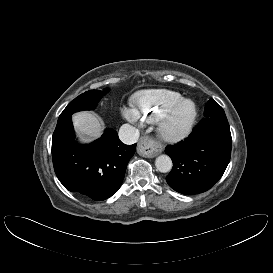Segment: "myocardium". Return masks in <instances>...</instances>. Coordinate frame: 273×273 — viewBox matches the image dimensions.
I'll return each instance as SVG.
<instances>
[{
	"label": "myocardium",
	"instance_id": "obj_1",
	"mask_svg": "<svg viewBox=\"0 0 273 273\" xmlns=\"http://www.w3.org/2000/svg\"><path fill=\"white\" fill-rule=\"evenodd\" d=\"M190 110L181 124H177L178 115L186 108ZM197 118L196 104L189 99H184L172 106L158 121L157 132L159 137L171 143H176L187 137Z\"/></svg>",
	"mask_w": 273,
	"mask_h": 273
}]
</instances>
